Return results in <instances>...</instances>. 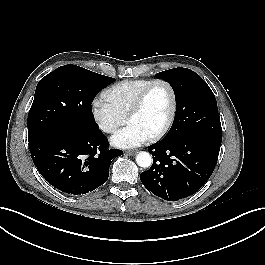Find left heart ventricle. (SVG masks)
Segmentation results:
<instances>
[{
	"instance_id": "obj_1",
	"label": "left heart ventricle",
	"mask_w": 265,
	"mask_h": 265,
	"mask_svg": "<svg viewBox=\"0 0 265 265\" xmlns=\"http://www.w3.org/2000/svg\"><path fill=\"white\" fill-rule=\"evenodd\" d=\"M171 106L169 91L163 85H156L149 92L143 107L129 121L151 137L158 132L168 117Z\"/></svg>"
}]
</instances>
